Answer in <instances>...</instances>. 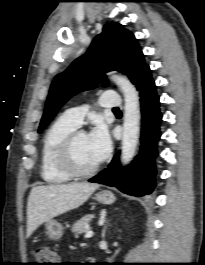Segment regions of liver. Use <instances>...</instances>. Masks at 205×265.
<instances>
[{"label":"liver","mask_w":205,"mask_h":265,"mask_svg":"<svg viewBox=\"0 0 205 265\" xmlns=\"http://www.w3.org/2000/svg\"><path fill=\"white\" fill-rule=\"evenodd\" d=\"M98 188L95 183L33 187L27 203V237L44 222L81 206Z\"/></svg>","instance_id":"obj_1"}]
</instances>
